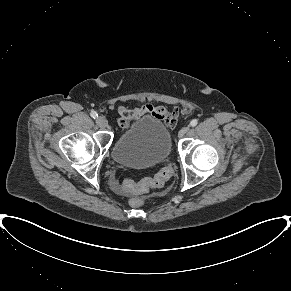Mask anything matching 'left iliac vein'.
<instances>
[{
    "label": "left iliac vein",
    "mask_w": 291,
    "mask_h": 291,
    "mask_svg": "<svg viewBox=\"0 0 291 291\" xmlns=\"http://www.w3.org/2000/svg\"><path fill=\"white\" fill-rule=\"evenodd\" d=\"M188 131H189V127H188V126L183 127V128L179 131V133H178V137H179V138L184 137L185 134H186Z\"/></svg>",
    "instance_id": "left-iliac-vein-1"
}]
</instances>
